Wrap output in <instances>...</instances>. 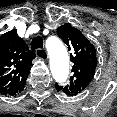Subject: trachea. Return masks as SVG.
<instances>
[{"label": "trachea", "mask_w": 117, "mask_h": 117, "mask_svg": "<svg viewBox=\"0 0 117 117\" xmlns=\"http://www.w3.org/2000/svg\"><path fill=\"white\" fill-rule=\"evenodd\" d=\"M42 48H43V39L40 36L34 37L31 42V49L35 50V49H42Z\"/></svg>", "instance_id": "3493384b"}]
</instances>
